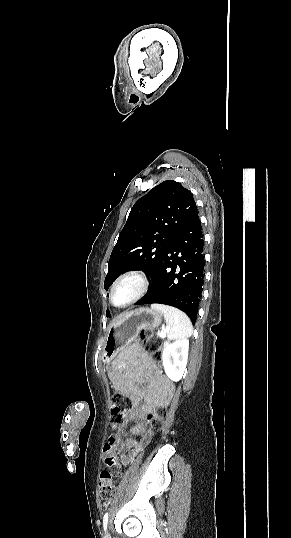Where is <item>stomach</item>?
Returning <instances> with one entry per match:
<instances>
[{
  "label": "stomach",
  "mask_w": 291,
  "mask_h": 538,
  "mask_svg": "<svg viewBox=\"0 0 291 538\" xmlns=\"http://www.w3.org/2000/svg\"><path fill=\"white\" fill-rule=\"evenodd\" d=\"M162 321V314L148 308L128 312L109 329L102 352L104 364L111 363L113 355L118 354L132 343L141 330H152Z\"/></svg>",
  "instance_id": "1"
}]
</instances>
